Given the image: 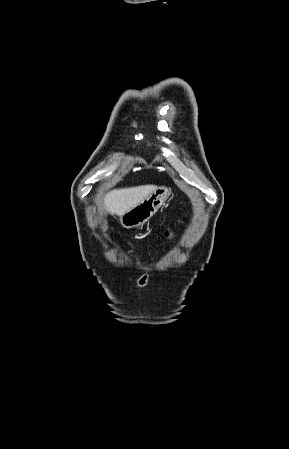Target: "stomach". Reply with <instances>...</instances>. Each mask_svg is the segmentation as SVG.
Here are the masks:
<instances>
[{"mask_svg": "<svg viewBox=\"0 0 289 449\" xmlns=\"http://www.w3.org/2000/svg\"><path fill=\"white\" fill-rule=\"evenodd\" d=\"M170 194L171 191L167 187H156L140 204L120 216V225L127 229L142 226L158 211Z\"/></svg>", "mask_w": 289, "mask_h": 449, "instance_id": "0dacf381", "label": "stomach"}]
</instances>
